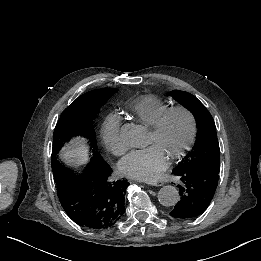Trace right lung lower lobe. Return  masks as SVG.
<instances>
[{
	"label": "right lung lower lobe",
	"mask_w": 261,
	"mask_h": 261,
	"mask_svg": "<svg viewBox=\"0 0 261 261\" xmlns=\"http://www.w3.org/2000/svg\"><path fill=\"white\" fill-rule=\"evenodd\" d=\"M111 174L112 169L102 160L88 164L80 179L67 170L55 180L61 205L75 223L89 229H105L122 216L128 182L113 181Z\"/></svg>",
	"instance_id": "obj_1"
}]
</instances>
